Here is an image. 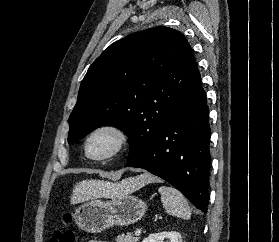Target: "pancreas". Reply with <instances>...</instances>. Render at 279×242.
I'll return each mask as SVG.
<instances>
[{"instance_id": "1", "label": "pancreas", "mask_w": 279, "mask_h": 242, "mask_svg": "<svg viewBox=\"0 0 279 242\" xmlns=\"http://www.w3.org/2000/svg\"><path fill=\"white\" fill-rule=\"evenodd\" d=\"M138 238L132 237L130 234L118 235L116 242H137Z\"/></svg>"}]
</instances>
